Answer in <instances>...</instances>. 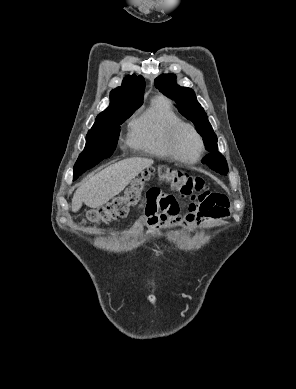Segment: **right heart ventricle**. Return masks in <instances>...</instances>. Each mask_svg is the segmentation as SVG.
Returning <instances> with one entry per match:
<instances>
[{
    "mask_svg": "<svg viewBox=\"0 0 296 389\" xmlns=\"http://www.w3.org/2000/svg\"><path fill=\"white\" fill-rule=\"evenodd\" d=\"M181 121L169 99L155 97L150 106L128 124L127 144L148 156L170 159L166 138L170 127Z\"/></svg>",
    "mask_w": 296,
    "mask_h": 389,
    "instance_id": "obj_1",
    "label": "right heart ventricle"
}]
</instances>
